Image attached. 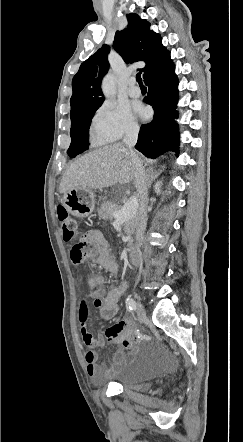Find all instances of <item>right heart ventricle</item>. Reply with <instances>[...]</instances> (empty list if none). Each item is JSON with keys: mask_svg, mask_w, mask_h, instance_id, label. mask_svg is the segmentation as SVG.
I'll use <instances>...</instances> for the list:
<instances>
[{"mask_svg": "<svg viewBox=\"0 0 243 442\" xmlns=\"http://www.w3.org/2000/svg\"><path fill=\"white\" fill-rule=\"evenodd\" d=\"M91 140L95 145H102L107 143V141L102 138L93 128L91 129Z\"/></svg>", "mask_w": 243, "mask_h": 442, "instance_id": "e07e8e85", "label": "right heart ventricle"}]
</instances>
